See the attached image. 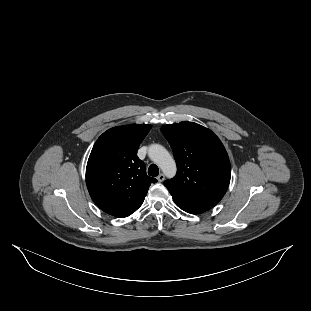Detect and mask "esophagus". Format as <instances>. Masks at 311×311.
Instances as JSON below:
<instances>
[{"label":"esophagus","instance_id":"34e87169","mask_svg":"<svg viewBox=\"0 0 311 311\" xmlns=\"http://www.w3.org/2000/svg\"><path fill=\"white\" fill-rule=\"evenodd\" d=\"M164 179H165V175L163 173L159 174L158 177H157V180L159 182H162Z\"/></svg>","mask_w":311,"mask_h":311}]
</instances>
